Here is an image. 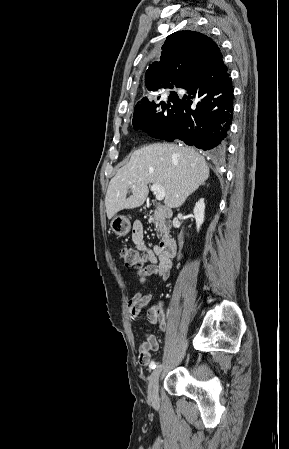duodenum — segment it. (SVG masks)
Masks as SVG:
<instances>
[{"instance_id": "1", "label": "duodenum", "mask_w": 289, "mask_h": 449, "mask_svg": "<svg viewBox=\"0 0 289 449\" xmlns=\"http://www.w3.org/2000/svg\"><path fill=\"white\" fill-rule=\"evenodd\" d=\"M151 212L156 215L163 216L165 218H169L172 216V212L170 209L166 207L156 206ZM177 244L173 237L166 236L161 243L159 244V251L161 255L166 258H172L176 253Z\"/></svg>"}]
</instances>
